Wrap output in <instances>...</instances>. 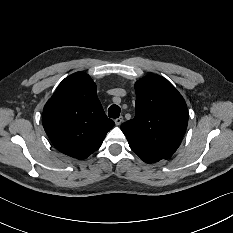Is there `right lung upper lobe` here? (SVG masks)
<instances>
[{
	"instance_id": "obj_1",
	"label": "right lung upper lobe",
	"mask_w": 233,
	"mask_h": 233,
	"mask_svg": "<svg viewBox=\"0 0 233 233\" xmlns=\"http://www.w3.org/2000/svg\"><path fill=\"white\" fill-rule=\"evenodd\" d=\"M114 124L97 98L96 84L83 72L65 78L43 110V127L52 144L79 160L101 146Z\"/></svg>"
}]
</instances>
